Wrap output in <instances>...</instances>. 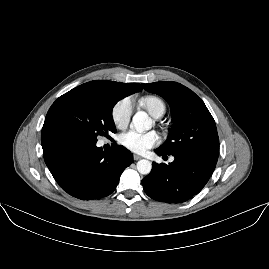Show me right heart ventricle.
Returning a JSON list of instances; mask_svg holds the SVG:
<instances>
[{
	"label": "right heart ventricle",
	"instance_id": "right-heart-ventricle-1",
	"mask_svg": "<svg viewBox=\"0 0 269 269\" xmlns=\"http://www.w3.org/2000/svg\"><path fill=\"white\" fill-rule=\"evenodd\" d=\"M143 107L153 116L165 113L164 103L157 97L148 96L141 100Z\"/></svg>",
	"mask_w": 269,
	"mask_h": 269
}]
</instances>
